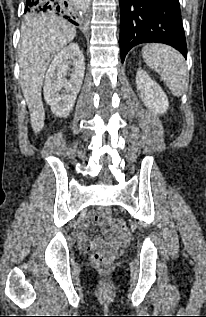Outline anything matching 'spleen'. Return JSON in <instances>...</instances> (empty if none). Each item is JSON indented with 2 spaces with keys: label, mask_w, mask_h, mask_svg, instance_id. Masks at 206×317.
<instances>
[{
  "label": "spleen",
  "mask_w": 206,
  "mask_h": 317,
  "mask_svg": "<svg viewBox=\"0 0 206 317\" xmlns=\"http://www.w3.org/2000/svg\"><path fill=\"white\" fill-rule=\"evenodd\" d=\"M145 63L160 74L173 95L180 97L187 80V70L182 55L161 44H149L142 50Z\"/></svg>",
  "instance_id": "1"
}]
</instances>
